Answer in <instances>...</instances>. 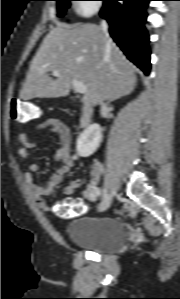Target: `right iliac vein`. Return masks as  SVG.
<instances>
[{"label": "right iliac vein", "instance_id": "obj_1", "mask_svg": "<svg viewBox=\"0 0 180 299\" xmlns=\"http://www.w3.org/2000/svg\"><path fill=\"white\" fill-rule=\"evenodd\" d=\"M114 192L107 194V196L103 199V201L100 203L98 210L100 212H103L105 210H107L112 202V198H113Z\"/></svg>", "mask_w": 180, "mask_h": 299}]
</instances>
